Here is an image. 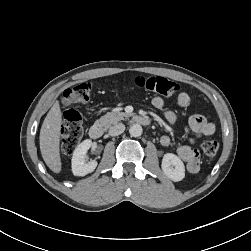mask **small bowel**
Returning a JSON list of instances; mask_svg holds the SVG:
<instances>
[{"mask_svg": "<svg viewBox=\"0 0 251 251\" xmlns=\"http://www.w3.org/2000/svg\"><path fill=\"white\" fill-rule=\"evenodd\" d=\"M190 103V97L187 93L182 92L176 98V104L180 108H186ZM152 105L159 110H162L165 101L162 97L156 96L152 99ZM165 118L168 122L174 123L176 121V114L173 111H166ZM187 131L192 135L190 143L182 145L178 148V156L185 163L188 172L195 174L199 171L200 160L198 151L193 147L195 141L199 138L210 136L214 133L215 127L212 123L202 115H193L189 118L187 124ZM162 146L169 147L172 140L169 136L164 135L160 140Z\"/></svg>", "mask_w": 251, "mask_h": 251, "instance_id": "obj_1", "label": "small bowel"}]
</instances>
